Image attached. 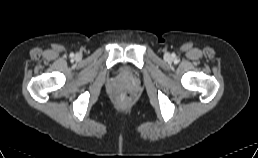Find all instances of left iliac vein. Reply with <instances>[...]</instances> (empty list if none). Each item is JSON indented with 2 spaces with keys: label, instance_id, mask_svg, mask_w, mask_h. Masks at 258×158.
Masks as SVG:
<instances>
[{
  "label": "left iliac vein",
  "instance_id": "4c4485c4",
  "mask_svg": "<svg viewBox=\"0 0 258 158\" xmlns=\"http://www.w3.org/2000/svg\"><path fill=\"white\" fill-rule=\"evenodd\" d=\"M165 57H166V58H169V57H170V55H169L168 53H166V54H165Z\"/></svg>",
  "mask_w": 258,
  "mask_h": 158
}]
</instances>
